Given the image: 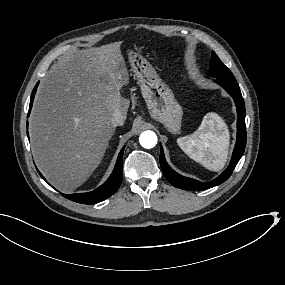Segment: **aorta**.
Instances as JSON below:
<instances>
[{
	"label": "aorta",
	"instance_id": "1",
	"mask_svg": "<svg viewBox=\"0 0 285 285\" xmlns=\"http://www.w3.org/2000/svg\"><path fill=\"white\" fill-rule=\"evenodd\" d=\"M141 146L145 149H152L157 144V136L152 131H144L139 137Z\"/></svg>",
	"mask_w": 285,
	"mask_h": 285
}]
</instances>
